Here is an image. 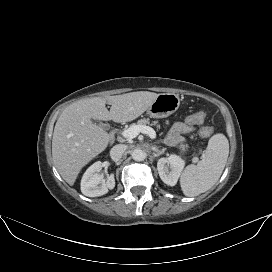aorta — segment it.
<instances>
[{
  "instance_id": "aorta-1",
  "label": "aorta",
  "mask_w": 272,
  "mask_h": 272,
  "mask_svg": "<svg viewBox=\"0 0 272 272\" xmlns=\"http://www.w3.org/2000/svg\"><path fill=\"white\" fill-rule=\"evenodd\" d=\"M131 156L135 161H143L146 158V153L141 149H134Z\"/></svg>"
}]
</instances>
